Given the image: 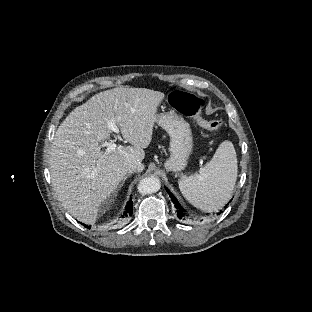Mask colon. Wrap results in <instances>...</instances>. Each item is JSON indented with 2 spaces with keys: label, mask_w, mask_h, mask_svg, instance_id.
Instances as JSON below:
<instances>
[{
  "label": "colon",
  "mask_w": 312,
  "mask_h": 312,
  "mask_svg": "<svg viewBox=\"0 0 312 312\" xmlns=\"http://www.w3.org/2000/svg\"><path fill=\"white\" fill-rule=\"evenodd\" d=\"M171 106L181 114L193 117L201 127L208 130H221L224 127L222 119H207L200 115L203 100L195 94L175 91L170 97Z\"/></svg>",
  "instance_id": "colon-1"
}]
</instances>
